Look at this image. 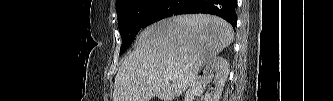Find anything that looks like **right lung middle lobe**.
Masks as SVG:
<instances>
[{
	"label": "right lung middle lobe",
	"instance_id": "obj_1",
	"mask_svg": "<svg viewBox=\"0 0 333 101\" xmlns=\"http://www.w3.org/2000/svg\"><path fill=\"white\" fill-rule=\"evenodd\" d=\"M162 0H119L116 2L119 32L122 37L120 55L131 45L141 28Z\"/></svg>",
	"mask_w": 333,
	"mask_h": 101
}]
</instances>
